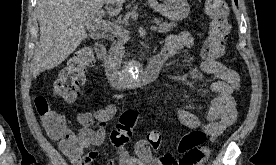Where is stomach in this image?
<instances>
[{
    "instance_id": "stomach-1",
    "label": "stomach",
    "mask_w": 276,
    "mask_h": 165,
    "mask_svg": "<svg viewBox=\"0 0 276 165\" xmlns=\"http://www.w3.org/2000/svg\"><path fill=\"white\" fill-rule=\"evenodd\" d=\"M150 6L172 21H181L190 12L187 0H148Z\"/></svg>"
}]
</instances>
